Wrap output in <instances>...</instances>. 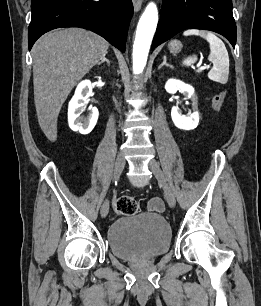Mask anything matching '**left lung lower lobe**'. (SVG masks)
<instances>
[{
  "instance_id": "obj_1",
  "label": "left lung lower lobe",
  "mask_w": 261,
  "mask_h": 306,
  "mask_svg": "<svg viewBox=\"0 0 261 306\" xmlns=\"http://www.w3.org/2000/svg\"><path fill=\"white\" fill-rule=\"evenodd\" d=\"M184 29L217 32L235 47L232 0H164L152 49Z\"/></svg>"
}]
</instances>
